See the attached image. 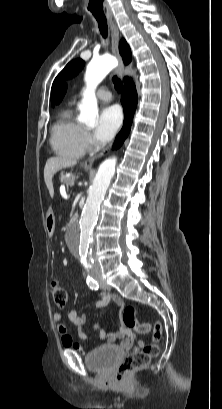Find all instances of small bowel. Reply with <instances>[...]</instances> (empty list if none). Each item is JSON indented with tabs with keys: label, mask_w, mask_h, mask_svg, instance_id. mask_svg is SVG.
I'll return each mask as SVG.
<instances>
[{
	"label": "small bowel",
	"mask_w": 222,
	"mask_h": 409,
	"mask_svg": "<svg viewBox=\"0 0 222 409\" xmlns=\"http://www.w3.org/2000/svg\"><path fill=\"white\" fill-rule=\"evenodd\" d=\"M110 302H113L121 312L124 311L125 308V303L122 300V298L116 294H109L102 292L98 295V298L96 300V307L98 309H103L106 307ZM68 319L70 320L71 323H73L76 328H77V335L80 339H86L88 337L87 333L84 331L83 326L85 324V316L82 314H79L76 310H70L68 312ZM54 321L57 325V330L58 332L63 336V338L67 335V328L63 324V319L61 314H55L54 315ZM95 331H98L100 334V338L108 343L115 342L117 340H120L119 347L124 349V350H130L133 347L135 349H138L143 346V341H138L135 344V335L134 333L125 325L123 322L119 330L112 332V333H107L105 330H103L99 325H95L94 327ZM69 340L66 342H63L67 347L73 348L76 352H78L81 355H85L87 353V350L79 343L75 342L73 338L70 336Z\"/></svg>",
	"instance_id": "c3829d8e"
}]
</instances>
